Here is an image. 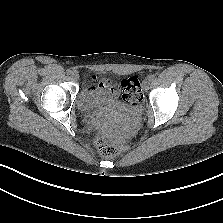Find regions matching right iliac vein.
<instances>
[{"label": "right iliac vein", "mask_w": 223, "mask_h": 223, "mask_svg": "<svg viewBox=\"0 0 223 223\" xmlns=\"http://www.w3.org/2000/svg\"><path fill=\"white\" fill-rule=\"evenodd\" d=\"M71 76H72V78H73L74 80H76V81L79 79V74H78V72H76V71L72 72V73H71Z\"/></svg>", "instance_id": "63e3f726"}]
</instances>
